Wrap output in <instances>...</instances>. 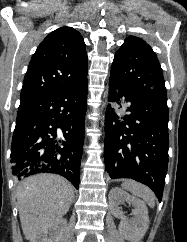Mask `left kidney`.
Listing matches in <instances>:
<instances>
[{"instance_id":"left-kidney-1","label":"left kidney","mask_w":187,"mask_h":242,"mask_svg":"<svg viewBox=\"0 0 187 242\" xmlns=\"http://www.w3.org/2000/svg\"><path fill=\"white\" fill-rule=\"evenodd\" d=\"M125 201L134 207V217L131 219H127L120 210L119 205ZM109 205L112 214L121 219L120 234L131 242H138L142 239L149 226L148 209L145 203L120 188L114 187L109 192Z\"/></svg>"}]
</instances>
